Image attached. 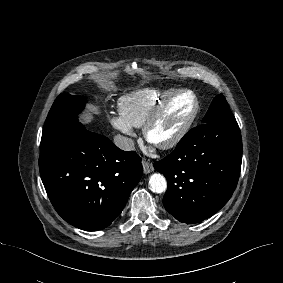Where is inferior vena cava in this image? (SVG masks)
<instances>
[{
    "instance_id": "inferior-vena-cava-1",
    "label": "inferior vena cava",
    "mask_w": 283,
    "mask_h": 283,
    "mask_svg": "<svg viewBox=\"0 0 283 283\" xmlns=\"http://www.w3.org/2000/svg\"><path fill=\"white\" fill-rule=\"evenodd\" d=\"M114 144L124 151H131L135 149L134 141L131 138L116 135L114 137Z\"/></svg>"
}]
</instances>
